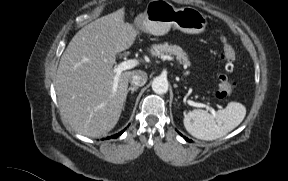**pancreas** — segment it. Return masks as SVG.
<instances>
[{"instance_id":"pancreas-1","label":"pancreas","mask_w":288,"mask_h":181,"mask_svg":"<svg viewBox=\"0 0 288 181\" xmlns=\"http://www.w3.org/2000/svg\"><path fill=\"white\" fill-rule=\"evenodd\" d=\"M150 53L152 56H160L163 54L174 55L178 63L186 66L190 65L187 54L178 45H172L169 43H163L158 45L155 44L152 46Z\"/></svg>"}]
</instances>
